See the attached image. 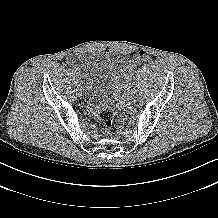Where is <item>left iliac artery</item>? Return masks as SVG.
Segmentation results:
<instances>
[{
	"label": "left iliac artery",
	"instance_id": "left-iliac-artery-1",
	"mask_svg": "<svg viewBox=\"0 0 218 218\" xmlns=\"http://www.w3.org/2000/svg\"><path fill=\"white\" fill-rule=\"evenodd\" d=\"M128 96H133V92L128 91Z\"/></svg>",
	"mask_w": 218,
	"mask_h": 218
}]
</instances>
